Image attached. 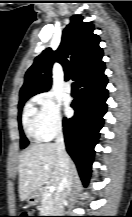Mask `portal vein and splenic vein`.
Masks as SVG:
<instances>
[{"mask_svg": "<svg viewBox=\"0 0 132 217\" xmlns=\"http://www.w3.org/2000/svg\"><path fill=\"white\" fill-rule=\"evenodd\" d=\"M55 191V187L54 186H49V192L53 193Z\"/></svg>", "mask_w": 132, "mask_h": 217, "instance_id": "portal-vein-and-splenic-vein-1", "label": "portal vein and splenic vein"}]
</instances>
